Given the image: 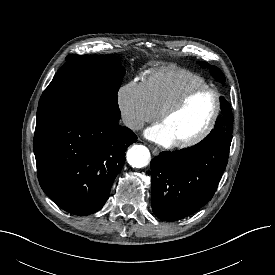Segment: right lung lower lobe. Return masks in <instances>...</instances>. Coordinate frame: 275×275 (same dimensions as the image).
<instances>
[{
    "label": "right lung lower lobe",
    "mask_w": 275,
    "mask_h": 275,
    "mask_svg": "<svg viewBox=\"0 0 275 275\" xmlns=\"http://www.w3.org/2000/svg\"><path fill=\"white\" fill-rule=\"evenodd\" d=\"M118 119L81 110L49 121L34 134V153L43 191L63 210L89 215L109 198L125 151L137 141Z\"/></svg>",
    "instance_id": "98d812e1"
}]
</instances>
